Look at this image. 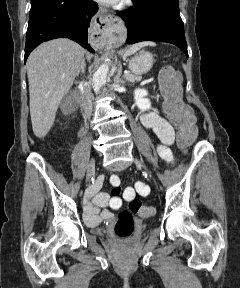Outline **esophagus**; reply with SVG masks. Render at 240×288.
Instances as JSON below:
<instances>
[{"mask_svg":"<svg viewBox=\"0 0 240 288\" xmlns=\"http://www.w3.org/2000/svg\"><path fill=\"white\" fill-rule=\"evenodd\" d=\"M95 32L99 35L97 42L101 46L112 44L113 32L117 25V19L108 10L99 6V11L94 17Z\"/></svg>","mask_w":240,"mask_h":288,"instance_id":"34e87169","label":"esophagus"}]
</instances>
